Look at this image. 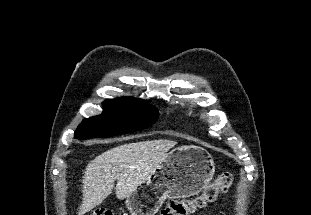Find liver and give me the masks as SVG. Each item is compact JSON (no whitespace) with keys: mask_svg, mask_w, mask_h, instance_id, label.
<instances>
[{"mask_svg":"<svg viewBox=\"0 0 311 215\" xmlns=\"http://www.w3.org/2000/svg\"><path fill=\"white\" fill-rule=\"evenodd\" d=\"M177 142L165 139L126 143L96 156L82 179V203L78 215L100 205L112 192L115 182L119 200L130 197L163 162Z\"/></svg>","mask_w":311,"mask_h":215,"instance_id":"6515ba94","label":"liver"}]
</instances>
